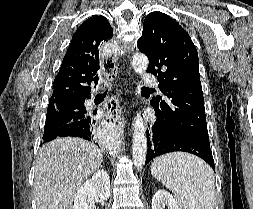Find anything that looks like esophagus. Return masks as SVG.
I'll return each mask as SVG.
<instances>
[{"instance_id":"esophagus-1","label":"esophagus","mask_w":253,"mask_h":209,"mask_svg":"<svg viewBox=\"0 0 253 209\" xmlns=\"http://www.w3.org/2000/svg\"><path fill=\"white\" fill-rule=\"evenodd\" d=\"M106 119L108 124L112 127L118 128L122 126L123 117L119 101L115 100V102L110 103V105L106 107Z\"/></svg>"}]
</instances>
